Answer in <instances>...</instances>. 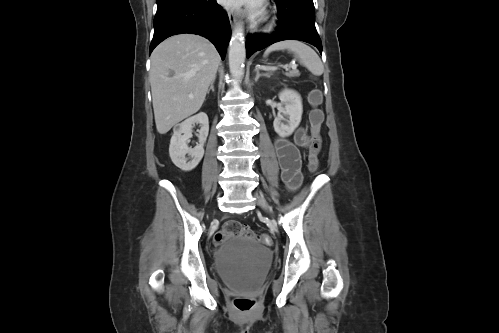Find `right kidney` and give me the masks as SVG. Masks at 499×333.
I'll return each instance as SVG.
<instances>
[{
  "label": "right kidney",
  "instance_id": "ca27d5eb",
  "mask_svg": "<svg viewBox=\"0 0 499 333\" xmlns=\"http://www.w3.org/2000/svg\"><path fill=\"white\" fill-rule=\"evenodd\" d=\"M195 124H200L201 127L198 134L199 144L194 148H189L187 141L192 137V127ZM208 133L209 121L204 112L192 116L179 124L174 130L169 146V155L172 162L183 171L193 170L203 158L204 143ZM186 154L191 158L190 161L185 157Z\"/></svg>",
  "mask_w": 499,
  "mask_h": 333
}]
</instances>
